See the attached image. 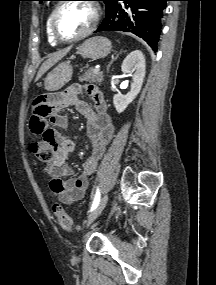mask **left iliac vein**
Wrapping results in <instances>:
<instances>
[{
    "label": "left iliac vein",
    "instance_id": "4c4485c4",
    "mask_svg": "<svg viewBox=\"0 0 216 285\" xmlns=\"http://www.w3.org/2000/svg\"><path fill=\"white\" fill-rule=\"evenodd\" d=\"M107 201H108V195H104L99 201L97 207L88 216L87 226H89L101 214V212L106 206Z\"/></svg>",
    "mask_w": 216,
    "mask_h": 285
}]
</instances>
